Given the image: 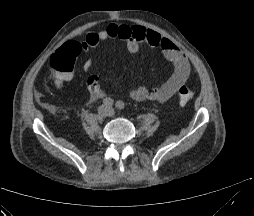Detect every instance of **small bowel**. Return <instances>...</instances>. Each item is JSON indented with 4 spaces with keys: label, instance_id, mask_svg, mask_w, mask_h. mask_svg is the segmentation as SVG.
<instances>
[{
    "label": "small bowel",
    "instance_id": "obj_1",
    "mask_svg": "<svg viewBox=\"0 0 254 216\" xmlns=\"http://www.w3.org/2000/svg\"><path fill=\"white\" fill-rule=\"evenodd\" d=\"M111 38H119L126 41L127 50L135 54L139 51L142 43H147L152 47L162 50L165 58L173 63L174 72L165 82L155 88L141 86L129 90V95L135 100H152L158 103L168 101L188 80L190 75V64L181 50L168 38L161 34L147 29L137 24H110L106 28L98 32L87 33L84 41L77 42L74 40L67 41L62 46V50L66 53H73V45L79 43L83 50L95 47L100 41ZM56 55L53 54L52 57ZM92 65L90 59L83 64V69L88 71ZM74 74L72 71L58 74L53 78V83L60 88L65 82L70 81ZM88 88L90 92V100L95 101L106 95L102 88L100 80L97 76H90L88 79Z\"/></svg>",
    "mask_w": 254,
    "mask_h": 216
}]
</instances>
